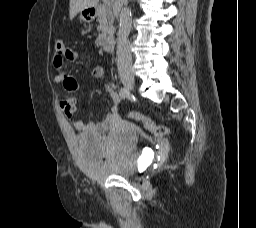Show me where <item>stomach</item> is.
Instances as JSON below:
<instances>
[{
	"label": "stomach",
	"instance_id": "0dacf381",
	"mask_svg": "<svg viewBox=\"0 0 256 228\" xmlns=\"http://www.w3.org/2000/svg\"><path fill=\"white\" fill-rule=\"evenodd\" d=\"M95 18V12H92V8H86L80 11V19L84 22H90Z\"/></svg>",
	"mask_w": 256,
	"mask_h": 228
}]
</instances>
